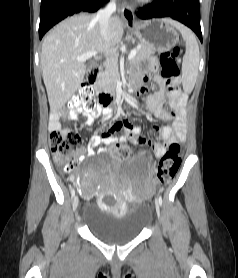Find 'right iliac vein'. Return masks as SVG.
Returning a JSON list of instances; mask_svg holds the SVG:
<instances>
[{"label": "right iliac vein", "instance_id": "obj_1", "mask_svg": "<svg viewBox=\"0 0 238 278\" xmlns=\"http://www.w3.org/2000/svg\"><path fill=\"white\" fill-rule=\"evenodd\" d=\"M72 205H73V210L76 211L79 205V198L77 196L74 197Z\"/></svg>", "mask_w": 238, "mask_h": 278}]
</instances>
